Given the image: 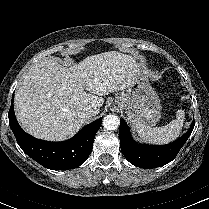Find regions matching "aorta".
<instances>
[{"instance_id": "aorta-1", "label": "aorta", "mask_w": 209, "mask_h": 209, "mask_svg": "<svg viewBox=\"0 0 209 209\" xmlns=\"http://www.w3.org/2000/svg\"><path fill=\"white\" fill-rule=\"evenodd\" d=\"M120 120L118 116L114 114L106 115L103 118L102 125L106 130H116L119 127Z\"/></svg>"}]
</instances>
